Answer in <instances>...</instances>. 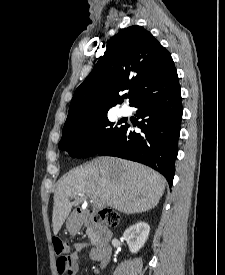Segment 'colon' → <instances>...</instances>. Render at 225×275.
<instances>
[{
	"label": "colon",
	"instance_id": "colon-1",
	"mask_svg": "<svg viewBox=\"0 0 225 275\" xmlns=\"http://www.w3.org/2000/svg\"><path fill=\"white\" fill-rule=\"evenodd\" d=\"M94 218L105 226H116L119 221V215L107 209L99 211ZM52 244L54 252L58 256L56 262L58 273L60 275H69L71 268L67 254L70 250V243L60 238H54Z\"/></svg>",
	"mask_w": 225,
	"mask_h": 275
}]
</instances>
